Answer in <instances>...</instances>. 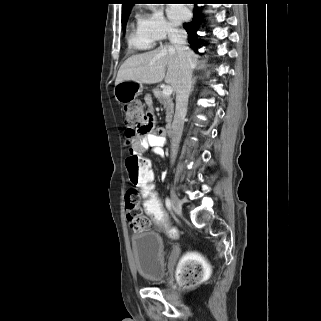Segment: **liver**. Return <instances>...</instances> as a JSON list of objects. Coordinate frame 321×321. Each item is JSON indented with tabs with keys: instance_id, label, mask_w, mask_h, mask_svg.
Here are the masks:
<instances>
[{
	"instance_id": "liver-1",
	"label": "liver",
	"mask_w": 321,
	"mask_h": 321,
	"mask_svg": "<svg viewBox=\"0 0 321 321\" xmlns=\"http://www.w3.org/2000/svg\"><path fill=\"white\" fill-rule=\"evenodd\" d=\"M192 68L197 65V55L189 49ZM167 68V72H166ZM180 76L179 56L173 45H161L157 49L129 57L120 67L115 84L134 81L155 84L165 79L175 90Z\"/></svg>"
}]
</instances>
